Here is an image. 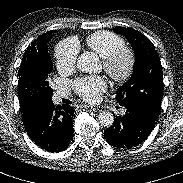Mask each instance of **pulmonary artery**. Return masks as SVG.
Listing matches in <instances>:
<instances>
[{
  "label": "pulmonary artery",
  "instance_id": "pulmonary-artery-1",
  "mask_svg": "<svg viewBox=\"0 0 183 183\" xmlns=\"http://www.w3.org/2000/svg\"><path fill=\"white\" fill-rule=\"evenodd\" d=\"M67 95V92L66 91H63V90H59L55 93L54 95V101L55 102H58L60 101L62 98L66 97Z\"/></svg>",
  "mask_w": 183,
  "mask_h": 183
}]
</instances>
